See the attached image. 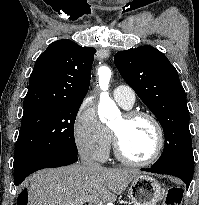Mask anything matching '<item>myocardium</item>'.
Listing matches in <instances>:
<instances>
[{
  "label": "myocardium",
  "instance_id": "myocardium-1",
  "mask_svg": "<svg viewBox=\"0 0 199 205\" xmlns=\"http://www.w3.org/2000/svg\"><path fill=\"white\" fill-rule=\"evenodd\" d=\"M122 116L125 120H128V121L136 119V118L148 119L154 126V129L156 132V145H155L153 153L146 159L135 160V159L129 158L122 151L119 136L117 132L113 128H111L112 142H113L114 153H115L116 158L124 164L130 165V166H138V167L147 166L155 162L161 155L163 148H164V144H165L164 130L159 120L152 113L148 111H144V110H127L122 114Z\"/></svg>",
  "mask_w": 199,
  "mask_h": 205
}]
</instances>
